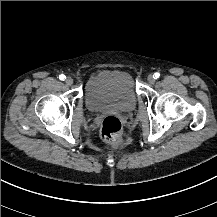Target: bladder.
I'll use <instances>...</instances> for the list:
<instances>
[{"label":"bladder","instance_id":"1","mask_svg":"<svg viewBox=\"0 0 217 217\" xmlns=\"http://www.w3.org/2000/svg\"><path fill=\"white\" fill-rule=\"evenodd\" d=\"M85 99L92 112L126 111L137 106L131 76L124 71L103 72L92 77L86 84Z\"/></svg>","mask_w":217,"mask_h":217}]
</instances>
